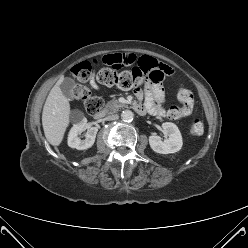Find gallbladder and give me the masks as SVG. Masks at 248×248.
Returning <instances> with one entry per match:
<instances>
[{"label": "gallbladder", "mask_w": 248, "mask_h": 248, "mask_svg": "<svg viewBox=\"0 0 248 248\" xmlns=\"http://www.w3.org/2000/svg\"><path fill=\"white\" fill-rule=\"evenodd\" d=\"M75 87V81L72 78H66L60 85L62 93L68 97H72V92Z\"/></svg>", "instance_id": "bac80fb5"}]
</instances>
